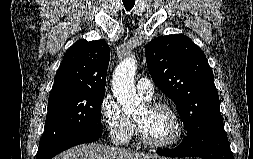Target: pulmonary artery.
I'll list each match as a JSON object with an SVG mask.
<instances>
[{"mask_svg": "<svg viewBox=\"0 0 253 159\" xmlns=\"http://www.w3.org/2000/svg\"><path fill=\"white\" fill-rule=\"evenodd\" d=\"M136 88L138 93L145 99L149 100L152 98L154 93V87L149 79L140 78L136 83Z\"/></svg>", "mask_w": 253, "mask_h": 159, "instance_id": "e3ab8cb5", "label": "pulmonary artery"}]
</instances>
